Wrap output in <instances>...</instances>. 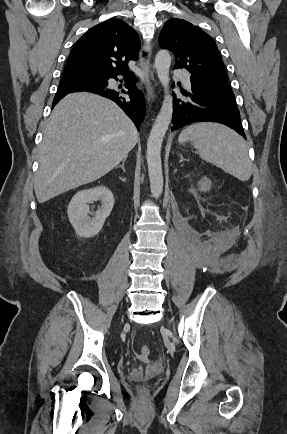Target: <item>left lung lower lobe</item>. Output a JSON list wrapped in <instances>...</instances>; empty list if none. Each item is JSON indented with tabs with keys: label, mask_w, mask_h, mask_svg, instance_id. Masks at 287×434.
Instances as JSON below:
<instances>
[{
	"label": "left lung lower lobe",
	"mask_w": 287,
	"mask_h": 434,
	"mask_svg": "<svg viewBox=\"0 0 287 434\" xmlns=\"http://www.w3.org/2000/svg\"><path fill=\"white\" fill-rule=\"evenodd\" d=\"M190 81L192 92L185 94L191 98L190 101L177 99L173 94L172 130L194 122L212 121L227 125L246 138L233 92L214 87L195 77H190Z\"/></svg>",
	"instance_id": "0a47b994"
}]
</instances>
